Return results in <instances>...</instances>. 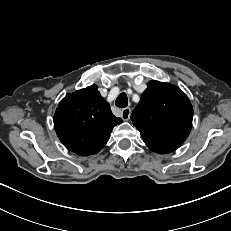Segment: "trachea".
Wrapping results in <instances>:
<instances>
[{"label":"trachea","instance_id":"1","mask_svg":"<svg viewBox=\"0 0 231 231\" xmlns=\"http://www.w3.org/2000/svg\"><path fill=\"white\" fill-rule=\"evenodd\" d=\"M115 105L119 108H125L128 105V99L125 92H122L116 99Z\"/></svg>","mask_w":231,"mask_h":231}]
</instances>
